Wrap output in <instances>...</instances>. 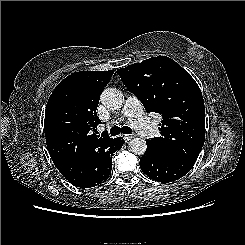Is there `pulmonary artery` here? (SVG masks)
Here are the masks:
<instances>
[{"label": "pulmonary artery", "instance_id": "obj_1", "mask_svg": "<svg viewBox=\"0 0 245 245\" xmlns=\"http://www.w3.org/2000/svg\"><path fill=\"white\" fill-rule=\"evenodd\" d=\"M122 113L129 118L133 127L144 138H153L156 128L149 121L141 102L135 96H129L125 102Z\"/></svg>", "mask_w": 245, "mask_h": 245}]
</instances>
